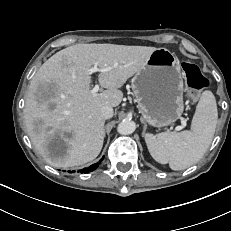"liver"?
<instances>
[{"mask_svg":"<svg viewBox=\"0 0 231 231\" xmlns=\"http://www.w3.org/2000/svg\"><path fill=\"white\" fill-rule=\"evenodd\" d=\"M155 47L115 44H76L51 56L32 78L25 100L24 119L32 144L44 160L56 168L79 166L95 159L103 146L104 106L116 107L121 88L140 70ZM101 72L105 88L91 93V67ZM41 126L37 127L36 123ZM64 148L57 152L54 142Z\"/></svg>","mask_w":231,"mask_h":231,"instance_id":"6515ba94","label":"liver"}]
</instances>
